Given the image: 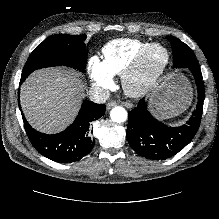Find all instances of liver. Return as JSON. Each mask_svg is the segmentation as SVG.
<instances>
[{
    "mask_svg": "<svg viewBox=\"0 0 219 219\" xmlns=\"http://www.w3.org/2000/svg\"><path fill=\"white\" fill-rule=\"evenodd\" d=\"M84 87L79 74L71 70L46 68L34 72L21 88L26 119L41 132L62 131L77 114Z\"/></svg>",
    "mask_w": 219,
    "mask_h": 219,
    "instance_id": "obj_1",
    "label": "liver"
}]
</instances>
